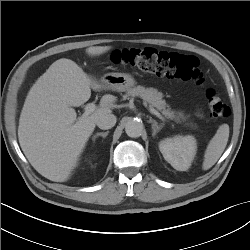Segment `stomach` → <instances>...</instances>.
Instances as JSON below:
<instances>
[{"mask_svg": "<svg viewBox=\"0 0 250 250\" xmlns=\"http://www.w3.org/2000/svg\"><path fill=\"white\" fill-rule=\"evenodd\" d=\"M101 84L106 89L124 92L132 89L136 85V81L130 74L107 73L101 78Z\"/></svg>", "mask_w": 250, "mask_h": 250, "instance_id": "obj_1", "label": "stomach"}]
</instances>
